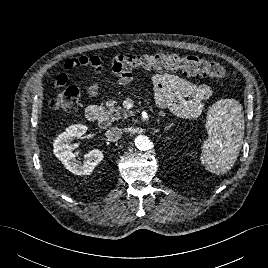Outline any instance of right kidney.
I'll return each instance as SVG.
<instances>
[{"label": "right kidney", "instance_id": "1", "mask_svg": "<svg viewBox=\"0 0 268 268\" xmlns=\"http://www.w3.org/2000/svg\"><path fill=\"white\" fill-rule=\"evenodd\" d=\"M85 125H72L61 133L54 141V155L64 164L66 169L76 175H90L95 167L103 160V153L94 149L85 154V160L79 162L72 153L71 142L75 138H81L86 133Z\"/></svg>", "mask_w": 268, "mask_h": 268}]
</instances>
